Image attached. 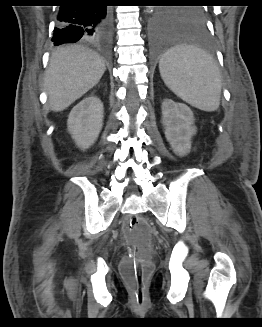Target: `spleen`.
Instances as JSON below:
<instances>
[{
	"label": "spleen",
	"instance_id": "spleen-1",
	"mask_svg": "<svg viewBox=\"0 0 262 327\" xmlns=\"http://www.w3.org/2000/svg\"><path fill=\"white\" fill-rule=\"evenodd\" d=\"M159 70L166 86L182 100L204 111H214L219 107V68L214 59L201 49L176 46L162 56Z\"/></svg>",
	"mask_w": 262,
	"mask_h": 327
}]
</instances>
